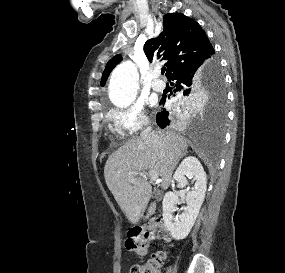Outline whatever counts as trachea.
I'll list each match as a JSON object with an SVG mask.
<instances>
[{
	"mask_svg": "<svg viewBox=\"0 0 285 273\" xmlns=\"http://www.w3.org/2000/svg\"><path fill=\"white\" fill-rule=\"evenodd\" d=\"M165 71H166V68H165V67H163V68L161 69V73H162V74H164V73H165Z\"/></svg>",
	"mask_w": 285,
	"mask_h": 273,
	"instance_id": "trachea-1",
	"label": "trachea"
}]
</instances>
